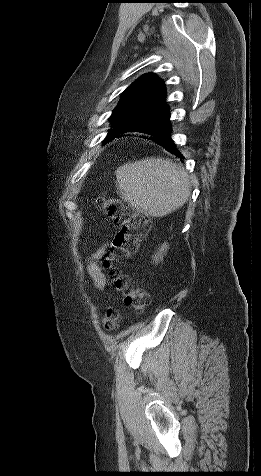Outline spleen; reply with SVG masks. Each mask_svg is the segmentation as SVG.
Returning <instances> with one entry per match:
<instances>
[{"instance_id": "obj_1", "label": "spleen", "mask_w": 261, "mask_h": 476, "mask_svg": "<svg viewBox=\"0 0 261 476\" xmlns=\"http://www.w3.org/2000/svg\"><path fill=\"white\" fill-rule=\"evenodd\" d=\"M115 174L121 198L147 216L164 217L181 208L190 197L188 174L169 159L128 162Z\"/></svg>"}]
</instances>
